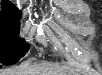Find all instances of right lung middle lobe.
<instances>
[{
    "label": "right lung middle lobe",
    "instance_id": "obj_1",
    "mask_svg": "<svg viewBox=\"0 0 102 75\" xmlns=\"http://www.w3.org/2000/svg\"><path fill=\"white\" fill-rule=\"evenodd\" d=\"M19 18L0 13V62L3 65L16 63L28 50L25 40L18 38Z\"/></svg>",
    "mask_w": 102,
    "mask_h": 75
}]
</instances>
